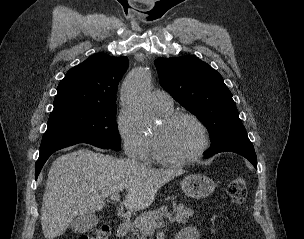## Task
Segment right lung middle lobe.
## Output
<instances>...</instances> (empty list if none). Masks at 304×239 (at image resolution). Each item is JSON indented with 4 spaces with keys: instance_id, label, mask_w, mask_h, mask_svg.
<instances>
[{
    "instance_id": "right-lung-middle-lobe-1",
    "label": "right lung middle lobe",
    "mask_w": 304,
    "mask_h": 239,
    "mask_svg": "<svg viewBox=\"0 0 304 239\" xmlns=\"http://www.w3.org/2000/svg\"><path fill=\"white\" fill-rule=\"evenodd\" d=\"M115 114L116 105L53 112L49 116L41 144L69 140L89 141L119 151L121 144Z\"/></svg>"
}]
</instances>
